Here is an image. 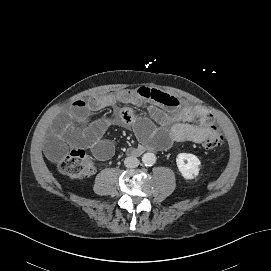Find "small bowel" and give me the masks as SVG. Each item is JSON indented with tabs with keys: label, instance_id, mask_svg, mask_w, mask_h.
Wrapping results in <instances>:
<instances>
[{
	"label": "small bowel",
	"instance_id": "1",
	"mask_svg": "<svg viewBox=\"0 0 271 271\" xmlns=\"http://www.w3.org/2000/svg\"><path fill=\"white\" fill-rule=\"evenodd\" d=\"M129 105L146 107L150 118L136 114ZM108 107L112 116L89 122L91 114ZM198 121L197 124L194 121ZM74 123L82 124V127ZM111 126H129L145 143L165 149L174 143H202L213 126V116L199 106L184 103L161 90L149 87L98 93L78 99L54 122L45 145L46 154L58 161L67 145L88 148L101 161L111 158L114 146L103 138Z\"/></svg>",
	"mask_w": 271,
	"mask_h": 271
}]
</instances>
